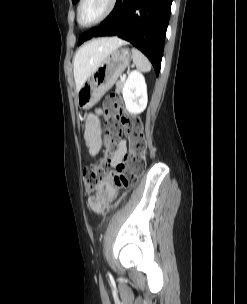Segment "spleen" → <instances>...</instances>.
<instances>
[{
  "label": "spleen",
  "instance_id": "obj_1",
  "mask_svg": "<svg viewBox=\"0 0 247 304\" xmlns=\"http://www.w3.org/2000/svg\"><path fill=\"white\" fill-rule=\"evenodd\" d=\"M133 63L139 71L149 72L151 64L147 57L138 49L132 48Z\"/></svg>",
  "mask_w": 247,
  "mask_h": 304
}]
</instances>
